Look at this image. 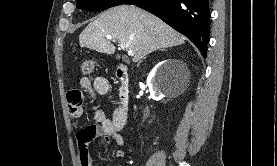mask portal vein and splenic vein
<instances>
[{
	"label": "portal vein and splenic vein",
	"instance_id": "obj_1",
	"mask_svg": "<svg viewBox=\"0 0 277 166\" xmlns=\"http://www.w3.org/2000/svg\"><path fill=\"white\" fill-rule=\"evenodd\" d=\"M106 39L112 40V37L109 36V35H107V36H106ZM120 46H121V48H122L123 50H125V47H124L122 44H120ZM127 52H128V55L133 56V51H132V50H128Z\"/></svg>",
	"mask_w": 277,
	"mask_h": 166
}]
</instances>
